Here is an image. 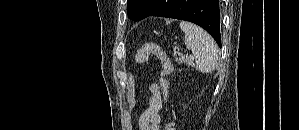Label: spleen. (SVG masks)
<instances>
[{
    "instance_id": "1",
    "label": "spleen",
    "mask_w": 299,
    "mask_h": 130,
    "mask_svg": "<svg viewBox=\"0 0 299 130\" xmlns=\"http://www.w3.org/2000/svg\"><path fill=\"white\" fill-rule=\"evenodd\" d=\"M185 33V45L192 51L196 70L202 73L213 71L218 62V50L214 39L202 28L190 22H181Z\"/></svg>"
}]
</instances>
